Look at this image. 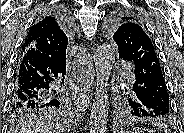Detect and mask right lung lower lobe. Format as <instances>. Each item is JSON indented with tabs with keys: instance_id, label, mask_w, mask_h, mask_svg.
Segmentation results:
<instances>
[{
	"instance_id": "1",
	"label": "right lung lower lobe",
	"mask_w": 184,
	"mask_h": 133,
	"mask_svg": "<svg viewBox=\"0 0 184 133\" xmlns=\"http://www.w3.org/2000/svg\"><path fill=\"white\" fill-rule=\"evenodd\" d=\"M62 19L63 25L71 33V20L63 10H55ZM66 73V57L50 58L41 53L28 50L18 59L16 67V81L14 87V103L26 105H49L62 96V92L55 90L52 83L58 76Z\"/></svg>"
}]
</instances>
